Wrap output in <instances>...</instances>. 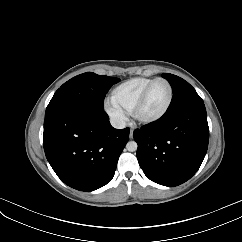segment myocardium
Returning <instances> with one entry per match:
<instances>
[{
    "label": "myocardium",
    "instance_id": "f54148a6",
    "mask_svg": "<svg viewBox=\"0 0 242 242\" xmlns=\"http://www.w3.org/2000/svg\"><path fill=\"white\" fill-rule=\"evenodd\" d=\"M159 81L165 82L169 87V99L167 101V104L164 107V109L157 116H155L153 118H141L138 115V112H139L141 106L143 105L152 86ZM173 98H174V90H173V86L170 83V81H168L166 78H162V77L153 79L141 92L140 96L138 97V99L136 100V102L134 103V105L131 109V116H132L134 122L141 124V125H152V124L159 122L168 113V111L173 103Z\"/></svg>",
    "mask_w": 242,
    "mask_h": 242
}]
</instances>
